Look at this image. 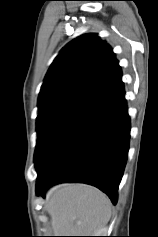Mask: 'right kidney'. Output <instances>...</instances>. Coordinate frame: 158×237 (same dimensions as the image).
I'll return each mask as SVG.
<instances>
[{"instance_id":"obj_1","label":"right kidney","mask_w":158,"mask_h":237,"mask_svg":"<svg viewBox=\"0 0 158 237\" xmlns=\"http://www.w3.org/2000/svg\"><path fill=\"white\" fill-rule=\"evenodd\" d=\"M106 228H101V229H99L96 233L97 234H94L95 236H100L101 235V233H106ZM103 235H106V234H103Z\"/></svg>"}]
</instances>
